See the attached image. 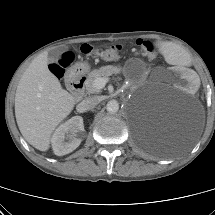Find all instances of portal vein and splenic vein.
I'll use <instances>...</instances> for the list:
<instances>
[{"label":"portal vein and splenic vein","instance_id":"1","mask_svg":"<svg viewBox=\"0 0 215 215\" xmlns=\"http://www.w3.org/2000/svg\"><path fill=\"white\" fill-rule=\"evenodd\" d=\"M109 81L108 77H99L94 81V87L97 89H102L105 87L106 83Z\"/></svg>","mask_w":215,"mask_h":215}]
</instances>
